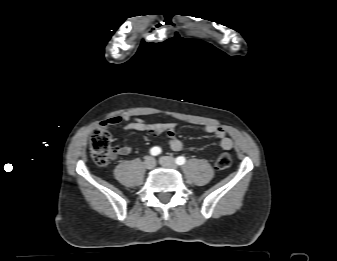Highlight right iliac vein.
<instances>
[{
	"label": "right iliac vein",
	"mask_w": 337,
	"mask_h": 261,
	"mask_svg": "<svg viewBox=\"0 0 337 261\" xmlns=\"http://www.w3.org/2000/svg\"><path fill=\"white\" fill-rule=\"evenodd\" d=\"M144 165L147 169H153L156 166V161L153 157L149 156L145 159Z\"/></svg>",
	"instance_id": "obj_1"
}]
</instances>
